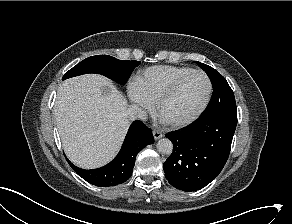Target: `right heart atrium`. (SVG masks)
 Listing matches in <instances>:
<instances>
[{"label":"right heart atrium","instance_id":"right-heart-atrium-1","mask_svg":"<svg viewBox=\"0 0 292 224\" xmlns=\"http://www.w3.org/2000/svg\"><path fill=\"white\" fill-rule=\"evenodd\" d=\"M128 96L139 112H146L152 109V102L140 91L135 83L128 87Z\"/></svg>","mask_w":292,"mask_h":224}]
</instances>
